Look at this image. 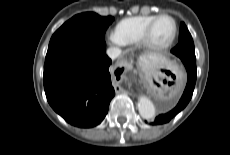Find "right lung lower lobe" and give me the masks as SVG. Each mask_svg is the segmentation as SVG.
Masks as SVG:
<instances>
[{
	"instance_id": "right-lung-lower-lobe-1",
	"label": "right lung lower lobe",
	"mask_w": 230,
	"mask_h": 155,
	"mask_svg": "<svg viewBox=\"0 0 230 155\" xmlns=\"http://www.w3.org/2000/svg\"><path fill=\"white\" fill-rule=\"evenodd\" d=\"M104 46H72L47 54L44 90L50 106L68 123L89 128L101 123L115 95L111 60Z\"/></svg>"
}]
</instances>
